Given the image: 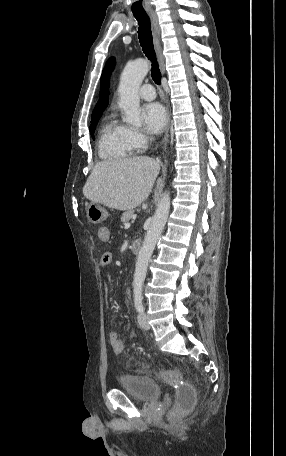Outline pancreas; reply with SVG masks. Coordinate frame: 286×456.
<instances>
[{
  "instance_id": "obj_1",
  "label": "pancreas",
  "mask_w": 286,
  "mask_h": 456,
  "mask_svg": "<svg viewBox=\"0 0 286 456\" xmlns=\"http://www.w3.org/2000/svg\"><path fill=\"white\" fill-rule=\"evenodd\" d=\"M133 215H135V211L134 210H129V211L123 213V215L121 217V221L123 223H127V222H129L130 219H132Z\"/></svg>"
}]
</instances>
